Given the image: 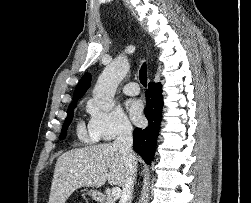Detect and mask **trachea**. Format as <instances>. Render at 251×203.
I'll return each instance as SVG.
<instances>
[{
	"label": "trachea",
	"mask_w": 251,
	"mask_h": 203,
	"mask_svg": "<svg viewBox=\"0 0 251 203\" xmlns=\"http://www.w3.org/2000/svg\"><path fill=\"white\" fill-rule=\"evenodd\" d=\"M139 79L140 83L144 86L147 87V67L146 63H144L139 71Z\"/></svg>",
	"instance_id": "3493384b"
}]
</instances>
